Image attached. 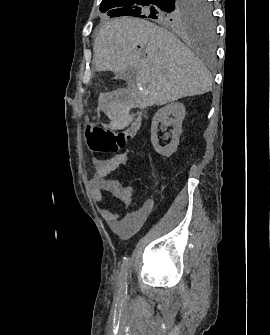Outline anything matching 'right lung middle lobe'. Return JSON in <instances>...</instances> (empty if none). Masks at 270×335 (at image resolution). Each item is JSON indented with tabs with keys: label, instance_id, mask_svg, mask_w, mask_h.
Masks as SVG:
<instances>
[{
	"label": "right lung middle lobe",
	"instance_id": "obj_1",
	"mask_svg": "<svg viewBox=\"0 0 270 335\" xmlns=\"http://www.w3.org/2000/svg\"><path fill=\"white\" fill-rule=\"evenodd\" d=\"M100 11L106 16H134L166 28L194 34L210 43L214 19L208 0H102Z\"/></svg>",
	"mask_w": 270,
	"mask_h": 335
}]
</instances>
